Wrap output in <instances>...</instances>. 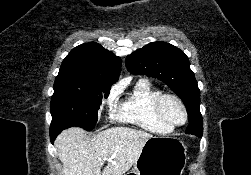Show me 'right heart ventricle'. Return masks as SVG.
<instances>
[{"label": "right heart ventricle", "mask_w": 251, "mask_h": 175, "mask_svg": "<svg viewBox=\"0 0 251 175\" xmlns=\"http://www.w3.org/2000/svg\"><path fill=\"white\" fill-rule=\"evenodd\" d=\"M160 93L162 91L149 81H138L121 103L117 117L152 134H172L173 131L157 119L153 110L154 100Z\"/></svg>", "instance_id": "e07e8e85"}]
</instances>
